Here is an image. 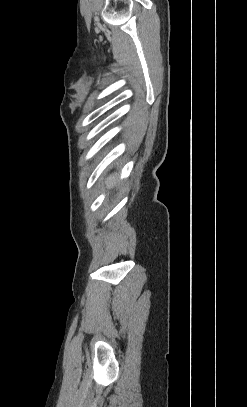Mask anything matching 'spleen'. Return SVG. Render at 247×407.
Returning <instances> with one entry per match:
<instances>
[{"label": "spleen", "instance_id": "obj_1", "mask_svg": "<svg viewBox=\"0 0 247 407\" xmlns=\"http://www.w3.org/2000/svg\"><path fill=\"white\" fill-rule=\"evenodd\" d=\"M115 178H116V175H112V176H110V177L107 178V180H106V186H107L108 188H112V187H113V184H114V182H115Z\"/></svg>", "mask_w": 247, "mask_h": 407}]
</instances>
